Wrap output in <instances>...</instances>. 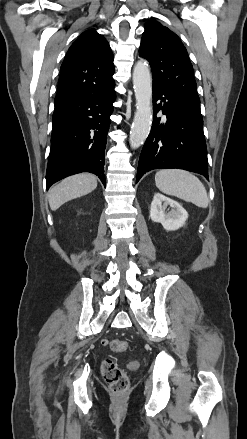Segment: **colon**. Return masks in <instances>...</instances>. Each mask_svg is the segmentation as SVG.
Segmentation results:
<instances>
[{"label":"colon","instance_id":"obj_1","mask_svg":"<svg viewBox=\"0 0 247 439\" xmlns=\"http://www.w3.org/2000/svg\"><path fill=\"white\" fill-rule=\"evenodd\" d=\"M112 351L120 353L128 348L125 340L113 339L106 342ZM102 375L114 393H122L128 386L126 373L112 360L106 359L102 364Z\"/></svg>","mask_w":247,"mask_h":439}]
</instances>
